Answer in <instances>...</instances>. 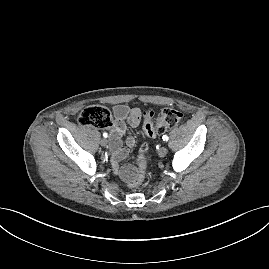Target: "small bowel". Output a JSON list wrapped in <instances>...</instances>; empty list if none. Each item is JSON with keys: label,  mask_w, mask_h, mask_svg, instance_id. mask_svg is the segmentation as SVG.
Returning <instances> with one entry per match:
<instances>
[{"label": "small bowel", "mask_w": 269, "mask_h": 269, "mask_svg": "<svg viewBox=\"0 0 269 269\" xmlns=\"http://www.w3.org/2000/svg\"><path fill=\"white\" fill-rule=\"evenodd\" d=\"M113 112L114 122L110 130L111 164L114 172L118 173L121 179L129 182L135 169L130 165L119 168V163L128 156L131 149L135 146L136 140L134 137H128L126 139V147H124L122 145V137L126 131L127 125L135 128L140 124L142 112L137 107H129L123 104L114 106ZM146 162L147 158L144 157L143 165H145Z\"/></svg>", "instance_id": "small-bowel-1"}]
</instances>
